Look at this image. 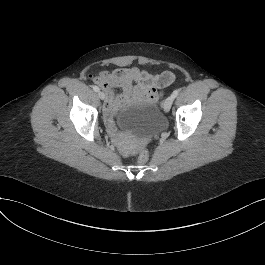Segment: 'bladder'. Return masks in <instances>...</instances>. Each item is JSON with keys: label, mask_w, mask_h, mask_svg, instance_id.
I'll return each mask as SVG.
<instances>
[{"label": "bladder", "mask_w": 265, "mask_h": 265, "mask_svg": "<svg viewBox=\"0 0 265 265\" xmlns=\"http://www.w3.org/2000/svg\"><path fill=\"white\" fill-rule=\"evenodd\" d=\"M164 121V114L157 104L130 107L120 115L122 129L144 136L160 131Z\"/></svg>", "instance_id": "31cf9c89"}]
</instances>
